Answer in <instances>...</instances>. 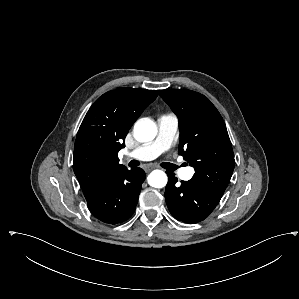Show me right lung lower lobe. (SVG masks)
<instances>
[{
    "mask_svg": "<svg viewBox=\"0 0 299 299\" xmlns=\"http://www.w3.org/2000/svg\"><path fill=\"white\" fill-rule=\"evenodd\" d=\"M145 172L124 168L108 177L88 198V208L100 221L117 224L135 211Z\"/></svg>",
    "mask_w": 299,
    "mask_h": 299,
    "instance_id": "obj_1",
    "label": "right lung lower lobe"
}]
</instances>
